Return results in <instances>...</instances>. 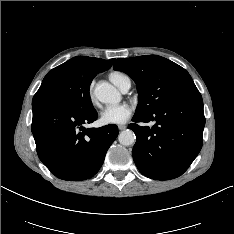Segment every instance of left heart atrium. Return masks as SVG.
Wrapping results in <instances>:
<instances>
[{"instance_id": "39dd6f15", "label": "left heart atrium", "mask_w": 234, "mask_h": 234, "mask_svg": "<svg viewBox=\"0 0 234 234\" xmlns=\"http://www.w3.org/2000/svg\"><path fill=\"white\" fill-rule=\"evenodd\" d=\"M133 113L129 104H119L117 106L106 108L101 114V121L104 124H124Z\"/></svg>"}]
</instances>
